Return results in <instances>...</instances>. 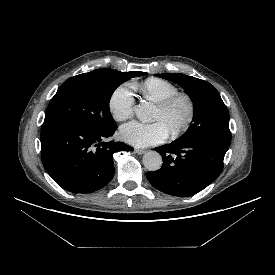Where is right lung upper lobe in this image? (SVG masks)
<instances>
[{
	"instance_id": "1",
	"label": "right lung upper lobe",
	"mask_w": 275,
	"mask_h": 275,
	"mask_svg": "<svg viewBox=\"0 0 275 275\" xmlns=\"http://www.w3.org/2000/svg\"><path fill=\"white\" fill-rule=\"evenodd\" d=\"M135 72H138V71H132L131 73H135Z\"/></svg>"
}]
</instances>
